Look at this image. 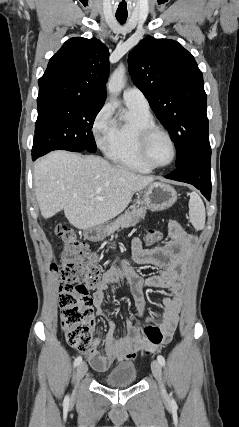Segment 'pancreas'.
<instances>
[{"label": "pancreas", "instance_id": "pancreas-1", "mask_svg": "<svg viewBox=\"0 0 239 427\" xmlns=\"http://www.w3.org/2000/svg\"><path fill=\"white\" fill-rule=\"evenodd\" d=\"M146 210L144 207L134 208L131 212H126L125 214L119 216L113 223L107 226V234L113 233L118 230L119 227H126L130 225H135L140 218L144 217Z\"/></svg>", "mask_w": 239, "mask_h": 427}]
</instances>
